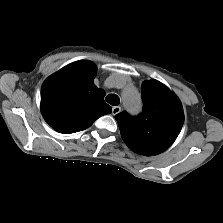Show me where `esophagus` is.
Returning <instances> with one entry per match:
<instances>
[{"label":"esophagus","instance_id":"obj_1","mask_svg":"<svg viewBox=\"0 0 223 223\" xmlns=\"http://www.w3.org/2000/svg\"><path fill=\"white\" fill-rule=\"evenodd\" d=\"M121 112V107L120 106H114L113 108H112V114L113 115H116V114H118V113H120Z\"/></svg>","mask_w":223,"mask_h":223}]
</instances>
